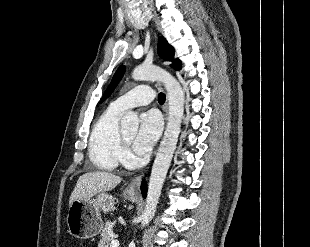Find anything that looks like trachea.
<instances>
[{
	"mask_svg": "<svg viewBox=\"0 0 310 247\" xmlns=\"http://www.w3.org/2000/svg\"><path fill=\"white\" fill-rule=\"evenodd\" d=\"M165 100H166L165 94L164 93H159V95H158V102L160 104H164Z\"/></svg>",
	"mask_w": 310,
	"mask_h": 247,
	"instance_id": "obj_1",
	"label": "trachea"
}]
</instances>
